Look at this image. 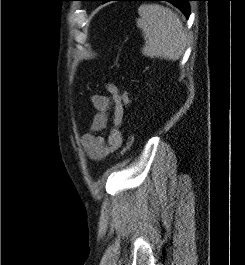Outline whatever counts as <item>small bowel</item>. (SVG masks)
<instances>
[{"label": "small bowel", "instance_id": "obj_1", "mask_svg": "<svg viewBox=\"0 0 245 265\" xmlns=\"http://www.w3.org/2000/svg\"><path fill=\"white\" fill-rule=\"evenodd\" d=\"M109 95L94 94L90 97L92 107L96 110L90 132L84 134L80 144L92 160H101L117 150L123 142L121 124L124 115V104L121 91L112 83L106 85ZM112 127L106 138L98 135L107 128L109 120Z\"/></svg>", "mask_w": 245, "mask_h": 265}]
</instances>
